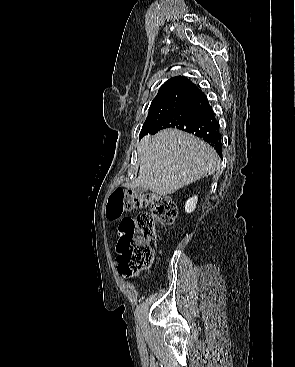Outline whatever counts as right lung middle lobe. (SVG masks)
I'll use <instances>...</instances> for the list:
<instances>
[{
  "instance_id": "right-lung-middle-lobe-1",
  "label": "right lung middle lobe",
  "mask_w": 295,
  "mask_h": 367,
  "mask_svg": "<svg viewBox=\"0 0 295 367\" xmlns=\"http://www.w3.org/2000/svg\"><path fill=\"white\" fill-rule=\"evenodd\" d=\"M193 93V90L183 88L169 89L158 92L157 96L153 99L150 105L149 114L143 124L140 137H143L147 133L151 132Z\"/></svg>"
}]
</instances>
